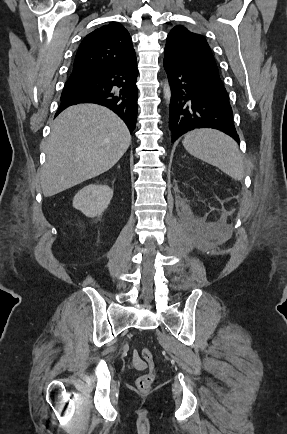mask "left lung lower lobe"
Returning a JSON list of instances; mask_svg holds the SVG:
<instances>
[{"mask_svg":"<svg viewBox=\"0 0 287 434\" xmlns=\"http://www.w3.org/2000/svg\"><path fill=\"white\" fill-rule=\"evenodd\" d=\"M164 68L172 93L169 110L172 142L195 128L217 129L240 142L219 74L167 57H164Z\"/></svg>","mask_w":287,"mask_h":434,"instance_id":"left-lung-lower-lobe-1","label":"left lung lower lobe"}]
</instances>
